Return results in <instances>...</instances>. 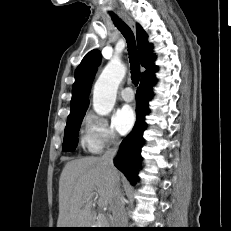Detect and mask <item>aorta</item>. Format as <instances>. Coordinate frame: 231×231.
Listing matches in <instances>:
<instances>
[{"label": "aorta", "mask_w": 231, "mask_h": 231, "mask_svg": "<svg viewBox=\"0 0 231 231\" xmlns=\"http://www.w3.org/2000/svg\"><path fill=\"white\" fill-rule=\"evenodd\" d=\"M126 74L120 61L111 60L94 85L93 109L99 115H108L114 107L119 84Z\"/></svg>", "instance_id": "aorta-1"}]
</instances>
